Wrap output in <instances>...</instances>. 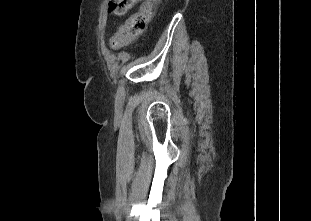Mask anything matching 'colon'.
Instances as JSON below:
<instances>
[{"label":"colon","mask_w":311,"mask_h":221,"mask_svg":"<svg viewBox=\"0 0 311 221\" xmlns=\"http://www.w3.org/2000/svg\"><path fill=\"white\" fill-rule=\"evenodd\" d=\"M162 0H144L140 9L130 15L127 21L122 24L116 34L111 38L109 45L113 48H120L135 40L147 27ZM131 4H137V0L110 1L112 17H126Z\"/></svg>","instance_id":"1"}]
</instances>
